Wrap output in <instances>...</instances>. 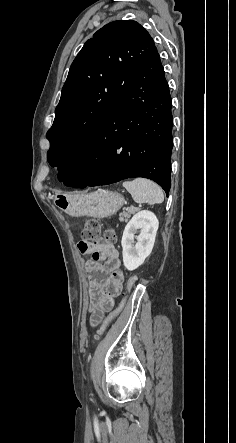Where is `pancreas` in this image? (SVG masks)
I'll return each instance as SVG.
<instances>
[{"mask_svg":"<svg viewBox=\"0 0 236 443\" xmlns=\"http://www.w3.org/2000/svg\"><path fill=\"white\" fill-rule=\"evenodd\" d=\"M137 211H139V208H136V207H129V208H127L126 211L122 212L119 215V221L120 222H123V221L127 222L128 219L130 218V216L132 214H135Z\"/></svg>","mask_w":236,"mask_h":443,"instance_id":"pancreas-1","label":"pancreas"}]
</instances>
